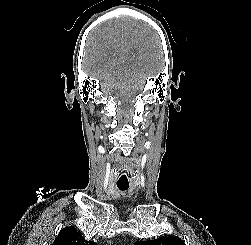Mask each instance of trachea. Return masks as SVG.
I'll use <instances>...</instances> for the list:
<instances>
[{"mask_svg":"<svg viewBox=\"0 0 251 245\" xmlns=\"http://www.w3.org/2000/svg\"><path fill=\"white\" fill-rule=\"evenodd\" d=\"M117 187L119 190L124 191L128 189L129 183L117 182Z\"/></svg>","mask_w":251,"mask_h":245,"instance_id":"trachea-1","label":"trachea"}]
</instances>
